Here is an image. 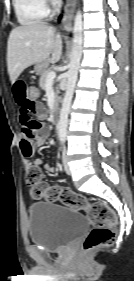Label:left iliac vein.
Returning a JSON list of instances; mask_svg holds the SVG:
<instances>
[{
  "instance_id": "4c4485c4",
  "label": "left iliac vein",
  "mask_w": 134,
  "mask_h": 281,
  "mask_svg": "<svg viewBox=\"0 0 134 281\" xmlns=\"http://www.w3.org/2000/svg\"><path fill=\"white\" fill-rule=\"evenodd\" d=\"M62 162H63V166H64V170L67 174L71 173L70 167L68 165V156H67V151L64 148L63 150V154H62Z\"/></svg>"
}]
</instances>
